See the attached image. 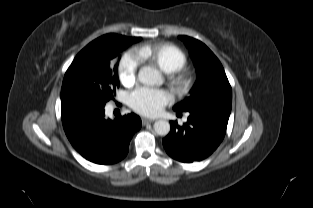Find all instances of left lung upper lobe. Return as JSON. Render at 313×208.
<instances>
[{
	"instance_id": "5c2ea615",
	"label": "left lung upper lobe",
	"mask_w": 313,
	"mask_h": 208,
	"mask_svg": "<svg viewBox=\"0 0 313 208\" xmlns=\"http://www.w3.org/2000/svg\"><path fill=\"white\" fill-rule=\"evenodd\" d=\"M179 38L189 49L198 77L190 96L173 109L180 112L211 109L230 113L232 89L218 58L201 41L188 36Z\"/></svg>"
}]
</instances>
